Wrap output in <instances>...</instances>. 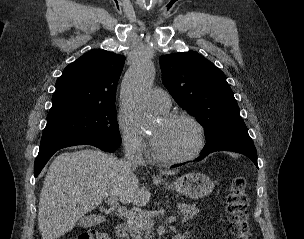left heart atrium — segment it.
Returning <instances> with one entry per match:
<instances>
[{"label": "left heart atrium", "mask_w": 304, "mask_h": 239, "mask_svg": "<svg viewBox=\"0 0 304 239\" xmlns=\"http://www.w3.org/2000/svg\"><path fill=\"white\" fill-rule=\"evenodd\" d=\"M153 145H154V147L156 145V140L154 138H153Z\"/></svg>", "instance_id": "1"}]
</instances>
